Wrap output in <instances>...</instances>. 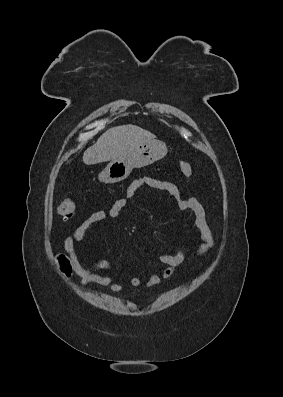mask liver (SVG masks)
<instances>
[{
    "instance_id": "liver-1",
    "label": "liver",
    "mask_w": 283,
    "mask_h": 397,
    "mask_svg": "<svg viewBox=\"0 0 283 397\" xmlns=\"http://www.w3.org/2000/svg\"><path fill=\"white\" fill-rule=\"evenodd\" d=\"M151 132L135 125L116 126L105 131L83 154L86 165L122 159L141 144L155 141Z\"/></svg>"
}]
</instances>
